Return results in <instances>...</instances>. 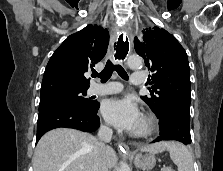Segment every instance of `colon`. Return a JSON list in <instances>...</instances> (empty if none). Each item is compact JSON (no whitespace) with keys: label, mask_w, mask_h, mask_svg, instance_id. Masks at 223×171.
I'll use <instances>...</instances> for the list:
<instances>
[{"label":"colon","mask_w":223,"mask_h":171,"mask_svg":"<svg viewBox=\"0 0 223 171\" xmlns=\"http://www.w3.org/2000/svg\"><path fill=\"white\" fill-rule=\"evenodd\" d=\"M163 171H173L171 168H165Z\"/></svg>","instance_id":"colon-1"}]
</instances>
